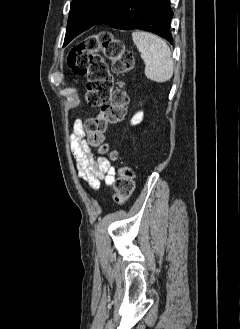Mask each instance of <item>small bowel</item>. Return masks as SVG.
Returning <instances> with one entry per match:
<instances>
[{
	"label": "small bowel",
	"mask_w": 240,
	"mask_h": 329,
	"mask_svg": "<svg viewBox=\"0 0 240 329\" xmlns=\"http://www.w3.org/2000/svg\"><path fill=\"white\" fill-rule=\"evenodd\" d=\"M85 136L83 121L76 119L70 142L79 176L93 189H97L101 181L108 185L112 184L115 176L114 168L105 156L94 157L85 141Z\"/></svg>",
	"instance_id": "small-bowel-1"
}]
</instances>
